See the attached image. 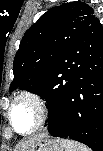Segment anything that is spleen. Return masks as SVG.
<instances>
[{
    "label": "spleen",
    "mask_w": 103,
    "mask_h": 151,
    "mask_svg": "<svg viewBox=\"0 0 103 151\" xmlns=\"http://www.w3.org/2000/svg\"><path fill=\"white\" fill-rule=\"evenodd\" d=\"M59 144L65 151H91L87 146L70 139H60Z\"/></svg>",
    "instance_id": "3e777b00"
}]
</instances>
